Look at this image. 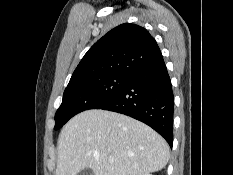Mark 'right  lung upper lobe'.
I'll use <instances>...</instances> for the list:
<instances>
[{"label": "right lung upper lobe", "mask_w": 233, "mask_h": 175, "mask_svg": "<svg viewBox=\"0 0 233 175\" xmlns=\"http://www.w3.org/2000/svg\"><path fill=\"white\" fill-rule=\"evenodd\" d=\"M162 58L155 39L146 29L134 24H121L88 50L69 83L112 73L133 76Z\"/></svg>", "instance_id": "obj_1"}]
</instances>
